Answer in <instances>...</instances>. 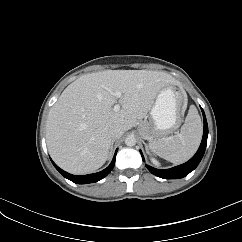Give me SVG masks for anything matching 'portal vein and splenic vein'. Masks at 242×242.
Wrapping results in <instances>:
<instances>
[{"label": "portal vein and splenic vein", "mask_w": 242, "mask_h": 242, "mask_svg": "<svg viewBox=\"0 0 242 242\" xmlns=\"http://www.w3.org/2000/svg\"><path fill=\"white\" fill-rule=\"evenodd\" d=\"M114 95H115L117 98H121V97H122V93L119 92V91L115 92ZM113 110H114L115 112L119 111V110H120V104H116V105H114Z\"/></svg>", "instance_id": "1"}]
</instances>
